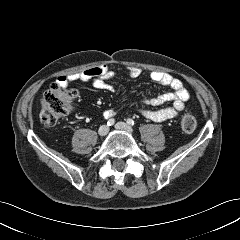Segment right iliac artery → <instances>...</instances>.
<instances>
[{"mask_svg": "<svg viewBox=\"0 0 240 240\" xmlns=\"http://www.w3.org/2000/svg\"><path fill=\"white\" fill-rule=\"evenodd\" d=\"M114 123H115V120H114V119H109V120L107 121V125H108V126H112Z\"/></svg>", "mask_w": 240, "mask_h": 240, "instance_id": "1", "label": "right iliac artery"}]
</instances>
